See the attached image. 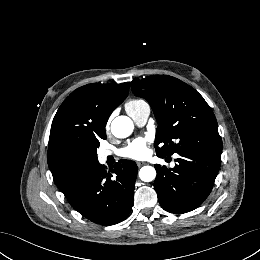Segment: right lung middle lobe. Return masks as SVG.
Returning <instances> with one entry per match:
<instances>
[{"label": "right lung middle lobe", "instance_id": "dd1d6c3e", "mask_svg": "<svg viewBox=\"0 0 260 260\" xmlns=\"http://www.w3.org/2000/svg\"><path fill=\"white\" fill-rule=\"evenodd\" d=\"M102 139H105L106 138V134H103V136H101ZM99 141L96 140L95 143H94V146H93V154H94V159H95V162L96 164H98V158H97V154H96V149L97 147H99Z\"/></svg>", "mask_w": 260, "mask_h": 260}]
</instances>
